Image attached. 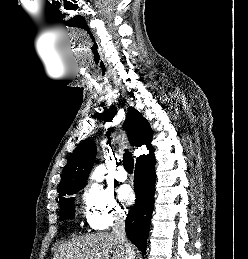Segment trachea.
I'll return each instance as SVG.
<instances>
[{"label":"trachea","mask_w":248,"mask_h":259,"mask_svg":"<svg viewBox=\"0 0 248 259\" xmlns=\"http://www.w3.org/2000/svg\"><path fill=\"white\" fill-rule=\"evenodd\" d=\"M123 165H124L125 170H126L129 174L133 173L134 159H133L131 153L128 152V151H126V152L124 153Z\"/></svg>","instance_id":"obj_1"}]
</instances>
